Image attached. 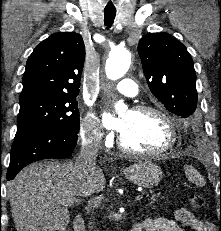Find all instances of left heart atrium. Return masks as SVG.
Segmentation results:
<instances>
[{"label": "left heart atrium", "mask_w": 221, "mask_h": 231, "mask_svg": "<svg viewBox=\"0 0 221 231\" xmlns=\"http://www.w3.org/2000/svg\"><path fill=\"white\" fill-rule=\"evenodd\" d=\"M104 125L107 128L116 130L121 133L124 130L125 122L122 118H114L111 115L106 114L104 118Z\"/></svg>", "instance_id": "obj_1"}]
</instances>
